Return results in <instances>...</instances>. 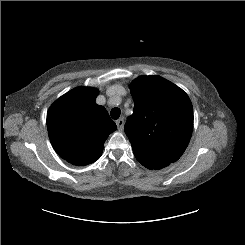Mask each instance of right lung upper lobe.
Returning <instances> with one entry per match:
<instances>
[{
	"label": "right lung upper lobe",
	"instance_id": "right-lung-upper-lobe-1",
	"mask_svg": "<svg viewBox=\"0 0 245 245\" xmlns=\"http://www.w3.org/2000/svg\"><path fill=\"white\" fill-rule=\"evenodd\" d=\"M98 90L77 87L49 108L47 129L57 154L67 162L82 166L96 161L115 123L103 106L95 103Z\"/></svg>",
	"mask_w": 245,
	"mask_h": 245
}]
</instances>
